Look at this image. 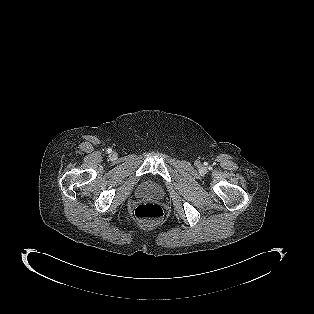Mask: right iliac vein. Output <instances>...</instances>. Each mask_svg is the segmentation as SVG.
<instances>
[{
  "mask_svg": "<svg viewBox=\"0 0 314 314\" xmlns=\"http://www.w3.org/2000/svg\"><path fill=\"white\" fill-rule=\"evenodd\" d=\"M114 157H115V154H114V153H112V154H111V158H114Z\"/></svg>",
  "mask_w": 314,
  "mask_h": 314,
  "instance_id": "right-iliac-vein-1",
  "label": "right iliac vein"
}]
</instances>
